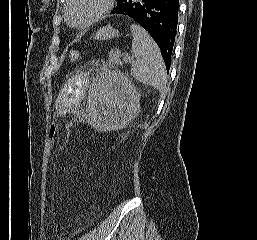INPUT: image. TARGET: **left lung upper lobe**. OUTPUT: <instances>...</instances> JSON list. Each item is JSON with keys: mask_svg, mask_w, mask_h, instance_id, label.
I'll return each mask as SVG.
<instances>
[{"mask_svg": "<svg viewBox=\"0 0 257 240\" xmlns=\"http://www.w3.org/2000/svg\"><path fill=\"white\" fill-rule=\"evenodd\" d=\"M121 0H117V5L120 3Z\"/></svg>", "mask_w": 257, "mask_h": 240, "instance_id": "left-lung-upper-lobe-1", "label": "left lung upper lobe"}]
</instances>
